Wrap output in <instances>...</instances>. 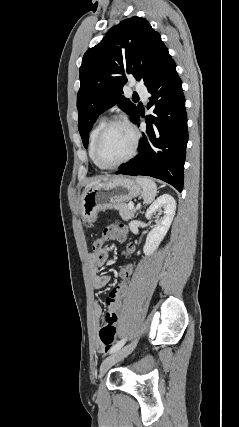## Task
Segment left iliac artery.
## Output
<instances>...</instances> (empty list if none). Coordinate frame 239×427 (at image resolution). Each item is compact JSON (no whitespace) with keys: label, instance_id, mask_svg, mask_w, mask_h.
Instances as JSON below:
<instances>
[{"label":"left iliac artery","instance_id":"44dca946","mask_svg":"<svg viewBox=\"0 0 239 427\" xmlns=\"http://www.w3.org/2000/svg\"><path fill=\"white\" fill-rule=\"evenodd\" d=\"M126 342V338H123L122 340L118 341L117 344H115L112 349L110 350V353H114L117 350H119Z\"/></svg>","mask_w":239,"mask_h":427}]
</instances>
